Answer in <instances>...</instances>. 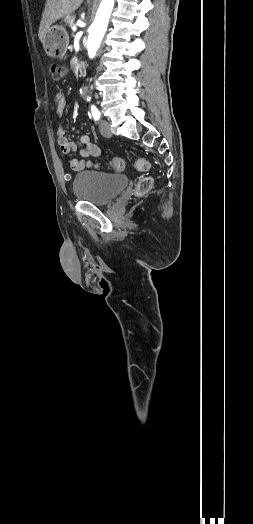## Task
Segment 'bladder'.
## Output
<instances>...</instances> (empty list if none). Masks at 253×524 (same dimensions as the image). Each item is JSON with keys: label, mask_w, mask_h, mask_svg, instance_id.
<instances>
[{"label": "bladder", "mask_w": 253, "mask_h": 524, "mask_svg": "<svg viewBox=\"0 0 253 524\" xmlns=\"http://www.w3.org/2000/svg\"><path fill=\"white\" fill-rule=\"evenodd\" d=\"M126 175L81 171L74 176L73 193L76 199L94 205L111 203L128 185Z\"/></svg>", "instance_id": "1"}]
</instances>
